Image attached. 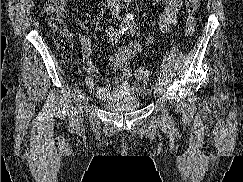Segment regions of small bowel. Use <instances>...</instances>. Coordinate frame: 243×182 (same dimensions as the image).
<instances>
[{
    "label": "small bowel",
    "mask_w": 243,
    "mask_h": 182,
    "mask_svg": "<svg viewBox=\"0 0 243 182\" xmlns=\"http://www.w3.org/2000/svg\"><path fill=\"white\" fill-rule=\"evenodd\" d=\"M165 5V9L160 16V26L163 31L169 30L177 21L178 11L183 0H157ZM111 45L118 42V37L113 34L112 29L108 30ZM143 44L131 42L121 46L117 51L108 57V64L114 71L121 73L120 78L115 84L108 83L102 86L97 85L99 71L91 62L92 47L88 39H81V51L83 56V68L86 72L84 79L85 85L96 92L97 96L105 101L115 102L122 98L132 95L137 91V87L131 82V70L128 62L134 59L142 50Z\"/></svg>",
    "instance_id": "small-bowel-1"
}]
</instances>
